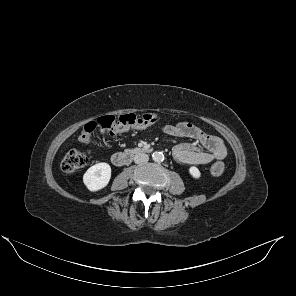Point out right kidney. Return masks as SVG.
<instances>
[{"label":"right kidney","instance_id":"right-kidney-1","mask_svg":"<svg viewBox=\"0 0 296 296\" xmlns=\"http://www.w3.org/2000/svg\"><path fill=\"white\" fill-rule=\"evenodd\" d=\"M111 178V167L107 163H98L90 167L83 175L88 190L95 192L106 187Z\"/></svg>","mask_w":296,"mask_h":296}]
</instances>
